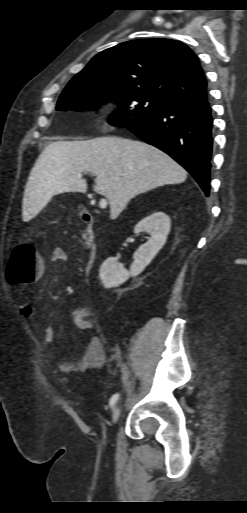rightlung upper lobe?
Masks as SVG:
<instances>
[{
    "mask_svg": "<svg viewBox=\"0 0 247 513\" xmlns=\"http://www.w3.org/2000/svg\"><path fill=\"white\" fill-rule=\"evenodd\" d=\"M71 81L128 88L168 104L206 97V79L198 57L170 39L123 42L97 54Z\"/></svg>",
    "mask_w": 247,
    "mask_h": 513,
    "instance_id": "right-lung-upper-lobe-1",
    "label": "right lung upper lobe"
}]
</instances>
